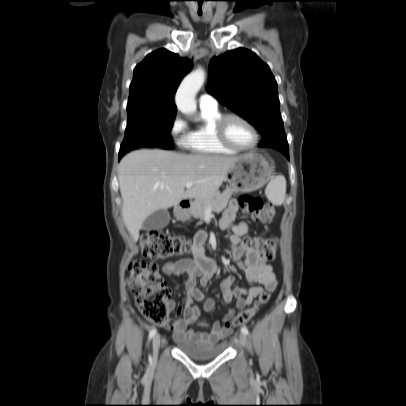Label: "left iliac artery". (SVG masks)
I'll return each instance as SVG.
<instances>
[{
  "label": "left iliac artery",
  "mask_w": 406,
  "mask_h": 406,
  "mask_svg": "<svg viewBox=\"0 0 406 406\" xmlns=\"http://www.w3.org/2000/svg\"><path fill=\"white\" fill-rule=\"evenodd\" d=\"M241 332L244 333L245 335L249 334V331H248V329L246 327H242Z\"/></svg>",
  "instance_id": "44dca946"
}]
</instances>
